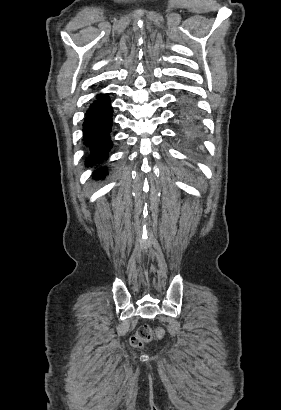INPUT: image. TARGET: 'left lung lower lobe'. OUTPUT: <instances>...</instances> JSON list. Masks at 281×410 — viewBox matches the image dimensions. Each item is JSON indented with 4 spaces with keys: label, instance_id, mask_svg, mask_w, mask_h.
Segmentation results:
<instances>
[{
    "label": "left lung lower lobe",
    "instance_id": "obj_1",
    "mask_svg": "<svg viewBox=\"0 0 281 410\" xmlns=\"http://www.w3.org/2000/svg\"><path fill=\"white\" fill-rule=\"evenodd\" d=\"M184 121V136L193 144H198L202 137V130L198 115L189 100L184 102V111L182 113Z\"/></svg>",
    "mask_w": 281,
    "mask_h": 410
}]
</instances>
